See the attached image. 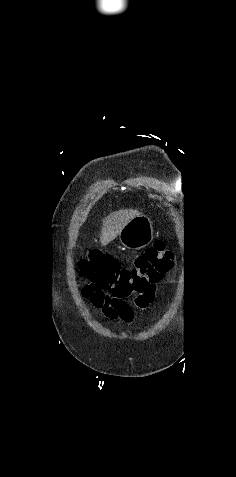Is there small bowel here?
I'll list each match as a JSON object with an SVG mask.
<instances>
[{
    "instance_id": "small-bowel-1",
    "label": "small bowel",
    "mask_w": 236,
    "mask_h": 477,
    "mask_svg": "<svg viewBox=\"0 0 236 477\" xmlns=\"http://www.w3.org/2000/svg\"><path fill=\"white\" fill-rule=\"evenodd\" d=\"M154 294H155V291L151 292V293H148L146 295H144L143 297H141L138 301V303L136 304V306L140 309H145L148 307V305L151 303V301L153 300L154 298ZM99 309H101L104 314L110 318V319H117V318H120L122 319L123 321L125 322H131L132 321V318H133V312L132 310L130 309L129 312L125 313V314H121L120 312H118L117 310H115L112 306H110L109 304H105L104 306L100 307Z\"/></svg>"
}]
</instances>
